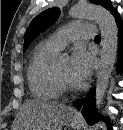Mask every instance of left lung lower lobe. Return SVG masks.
<instances>
[{"label": "left lung lower lobe", "mask_w": 123, "mask_h": 130, "mask_svg": "<svg viewBox=\"0 0 123 130\" xmlns=\"http://www.w3.org/2000/svg\"><path fill=\"white\" fill-rule=\"evenodd\" d=\"M115 17V21L118 27V61H117V71L123 73V20L120 18L119 13L115 9L112 12ZM73 105L80 109L82 107V115L86 119L89 124H92L98 120H104L108 123V120L104 117H100L95 108V89H92L85 101L77 100L73 103ZM109 127H110V123Z\"/></svg>", "instance_id": "obj_1"}]
</instances>
